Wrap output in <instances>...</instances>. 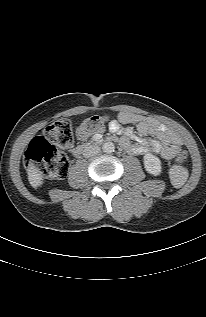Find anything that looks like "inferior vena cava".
<instances>
[{"instance_id": "inferior-vena-cava-1", "label": "inferior vena cava", "mask_w": 206, "mask_h": 317, "mask_svg": "<svg viewBox=\"0 0 206 317\" xmlns=\"http://www.w3.org/2000/svg\"><path fill=\"white\" fill-rule=\"evenodd\" d=\"M100 152V147L96 145H86L83 149V156L85 158H90L96 156Z\"/></svg>"}]
</instances>
